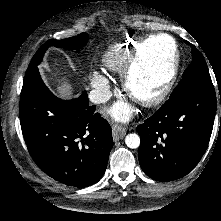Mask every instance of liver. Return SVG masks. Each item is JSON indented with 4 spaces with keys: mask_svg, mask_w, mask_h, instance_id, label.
<instances>
[{
    "mask_svg": "<svg viewBox=\"0 0 221 221\" xmlns=\"http://www.w3.org/2000/svg\"><path fill=\"white\" fill-rule=\"evenodd\" d=\"M57 85L55 88V94L64 100L71 99L73 97V87L69 80L65 77L57 79Z\"/></svg>",
    "mask_w": 221,
    "mask_h": 221,
    "instance_id": "1",
    "label": "liver"
}]
</instances>
